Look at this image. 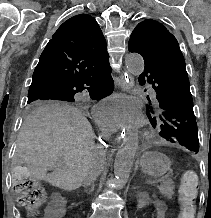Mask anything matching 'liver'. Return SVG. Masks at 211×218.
Here are the masks:
<instances>
[{"label":"liver","instance_id":"1","mask_svg":"<svg viewBox=\"0 0 211 218\" xmlns=\"http://www.w3.org/2000/svg\"><path fill=\"white\" fill-rule=\"evenodd\" d=\"M94 138L81 110L67 104H50L37 108L24 120L17 152L32 178L61 190H75L97 168L98 160H103ZM59 160H64L68 170L59 168ZM47 170L53 172L47 174Z\"/></svg>","mask_w":211,"mask_h":218}]
</instances>
